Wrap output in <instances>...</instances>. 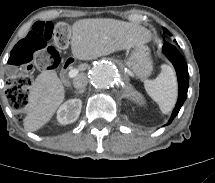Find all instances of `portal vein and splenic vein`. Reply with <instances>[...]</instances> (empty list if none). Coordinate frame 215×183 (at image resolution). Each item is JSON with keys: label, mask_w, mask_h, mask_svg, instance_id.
Wrapping results in <instances>:
<instances>
[{"label": "portal vein and splenic vein", "mask_w": 215, "mask_h": 183, "mask_svg": "<svg viewBox=\"0 0 215 183\" xmlns=\"http://www.w3.org/2000/svg\"><path fill=\"white\" fill-rule=\"evenodd\" d=\"M78 73H79L78 69H72V70L69 71L68 76L70 78H75L78 75Z\"/></svg>", "instance_id": "obj_1"}]
</instances>
